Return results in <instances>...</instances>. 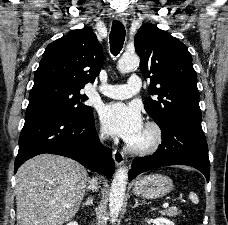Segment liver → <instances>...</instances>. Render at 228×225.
Listing matches in <instances>:
<instances>
[{"label": "liver", "instance_id": "6515ba94", "mask_svg": "<svg viewBox=\"0 0 228 225\" xmlns=\"http://www.w3.org/2000/svg\"><path fill=\"white\" fill-rule=\"evenodd\" d=\"M17 225H64L83 201L87 173L59 155H38L16 173Z\"/></svg>", "mask_w": 228, "mask_h": 225}]
</instances>
